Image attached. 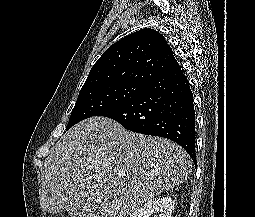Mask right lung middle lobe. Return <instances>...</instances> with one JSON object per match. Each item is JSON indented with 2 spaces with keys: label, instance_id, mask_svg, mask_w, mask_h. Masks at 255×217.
<instances>
[{
  "label": "right lung middle lobe",
  "instance_id": "1",
  "mask_svg": "<svg viewBox=\"0 0 255 217\" xmlns=\"http://www.w3.org/2000/svg\"><path fill=\"white\" fill-rule=\"evenodd\" d=\"M147 85L111 84L81 91L72 110L66 130L76 123L117 109L142 93Z\"/></svg>",
  "mask_w": 255,
  "mask_h": 217
}]
</instances>
